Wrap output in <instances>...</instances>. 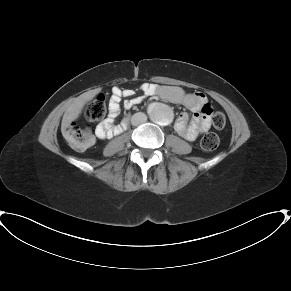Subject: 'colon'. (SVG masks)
I'll use <instances>...</instances> for the list:
<instances>
[{
	"label": "colon",
	"instance_id": "5ec220e1",
	"mask_svg": "<svg viewBox=\"0 0 291 291\" xmlns=\"http://www.w3.org/2000/svg\"><path fill=\"white\" fill-rule=\"evenodd\" d=\"M106 112V104L104 95L100 94L89 101L85 107V117L88 121H100ZM206 113H210V108L206 109ZM213 125L216 128L225 126V116L221 112H217L212 118ZM63 135L69 145L78 151L85 150L95 140V135L89 127L81 126L78 122L73 121L63 128ZM219 137L210 133L201 139V148L205 151H213L219 146Z\"/></svg>",
	"mask_w": 291,
	"mask_h": 291
}]
</instances>
